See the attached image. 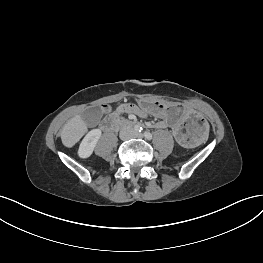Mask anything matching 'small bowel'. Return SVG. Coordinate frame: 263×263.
Listing matches in <instances>:
<instances>
[{"label":"small bowel","instance_id":"c3829d8e","mask_svg":"<svg viewBox=\"0 0 263 263\" xmlns=\"http://www.w3.org/2000/svg\"><path fill=\"white\" fill-rule=\"evenodd\" d=\"M118 112L120 113H129L134 114L139 117H145L146 115L142 111V107L135 106L133 104H122L118 107ZM154 127L157 129H165L167 126L162 125L159 121L154 124Z\"/></svg>","mask_w":263,"mask_h":263}]
</instances>
